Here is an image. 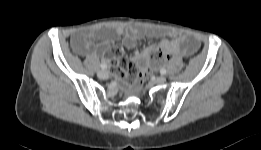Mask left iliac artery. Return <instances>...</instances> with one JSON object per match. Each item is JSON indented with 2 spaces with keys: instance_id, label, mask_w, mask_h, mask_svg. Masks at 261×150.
<instances>
[{
  "instance_id": "1",
  "label": "left iliac artery",
  "mask_w": 261,
  "mask_h": 150,
  "mask_svg": "<svg viewBox=\"0 0 261 150\" xmlns=\"http://www.w3.org/2000/svg\"><path fill=\"white\" fill-rule=\"evenodd\" d=\"M160 73H161L162 75H165V74L167 73V71H166L165 68H162V69L160 70Z\"/></svg>"
}]
</instances>
